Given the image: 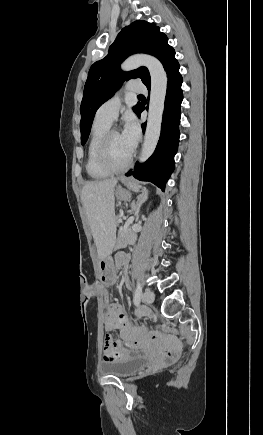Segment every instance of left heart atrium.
<instances>
[{"instance_id":"1","label":"left heart atrium","mask_w":263,"mask_h":435,"mask_svg":"<svg viewBox=\"0 0 263 435\" xmlns=\"http://www.w3.org/2000/svg\"><path fill=\"white\" fill-rule=\"evenodd\" d=\"M121 136L126 146L133 152L140 139V128L135 117H127Z\"/></svg>"}]
</instances>
